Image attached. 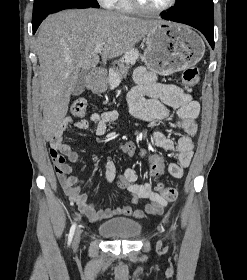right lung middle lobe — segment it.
I'll return each instance as SVG.
<instances>
[{
    "mask_svg": "<svg viewBox=\"0 0 247 280\" xmlns=\"http://www.w3.org/2000/svg\"><path fill=\"white\" fill-rule=\"evenodd\" d=\"M78 5L100 7L97 0H34L32 22L41 21L61 8Z\"/></svg>",
    "mask_w": 247,
    "mask_h": 280,
    "instance_id": "1",
    "label": "right lung middle lobe"
}]
</instances>
